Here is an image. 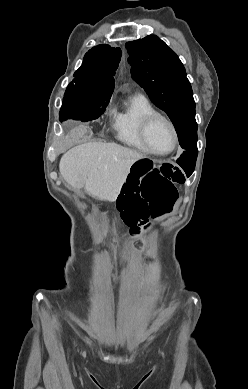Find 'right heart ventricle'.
<instances>
[{"label":"right heart ventricle","mask_w":248,"mask_h":389,"mask_svg":"<svg viewBox=\"0 0 248 389\" xmlns=\"http://www.w3.org/2000/svg\"><path fill=\"white\" fill-rule=\"evenodd\" d=\"M156 112L150 101L141 94L132 96L122 109H115L112 127L116 138L125 145L147 152L140 138V126L143 119Z\"/></svg>","instance_id":"e07e8e85"}]
</instances>
